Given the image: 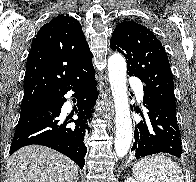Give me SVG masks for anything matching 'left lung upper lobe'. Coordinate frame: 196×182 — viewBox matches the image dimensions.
Instances as JSON below:
<instances>
[{"label":"left lung upper lobe","mask_w":196,"mask_h":182,"mask_svg":"<svg viewBox=\"0 0 196 182\" xmlns=\"http://www.w3.org/2000/svg\"><path fill=\"white\" fill-rule=\"evenodd\" d=\"M110 48L124 55L127 73L144 82V88L176 110L174 82L167 54L154 33L134 21L119 23Z\"/></svg>","instance_id":"left-lung-upper-lobe-1"}]
</instances>
